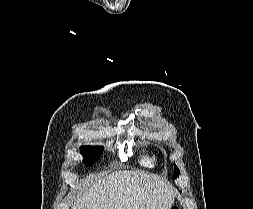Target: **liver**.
Wrapping results in <instances>:
<instances>
[{"mask_svg": "<svg viewBox=\"0 0 253 209\" xmlns=\"http://www.w3.org/2000/svg\"><path fill=\"white\" fill-rule=\"evenodd\" d=\"M176 191L164 178L117 171L91 184L72 209H170Z\"/></svg>", "mask_w": 253, "mask_h": 209, "instance_id": "6515ba94", "label": "liver"}]
</instances>
